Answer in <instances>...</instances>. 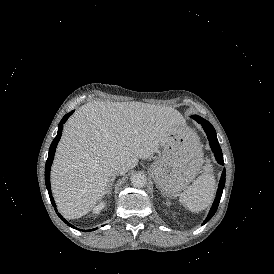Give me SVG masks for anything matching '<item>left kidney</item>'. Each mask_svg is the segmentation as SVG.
<instances>
[{
  "label": "left kidney",
  "instance_id": "5707ae66",
  "mask_svg": "<svg viewBox=\"0 0 274 274\" xmlns=\"http://www.w3.org/2000/svg\"><path fill=\"white\" fill-rule=\"evenodd\" d=\"M166 204H167V206H170V205H171V203H170L169 201H167Z\"/></svg>",
  "mask_w": 274,
  "mask_h": 274
}]
</instances>
